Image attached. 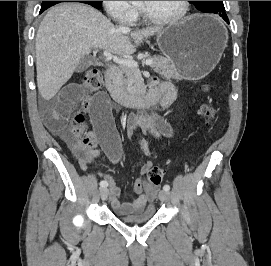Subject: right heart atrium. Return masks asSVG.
I'll return each instance as SVG.
<instances>
[{"instance_id":"right-heart-atrium-1","label":"right heart atrium","mask_w":271,"mask_h":266,"mask_svg":"<svg viewBox=\"0 0 271 266\" xmlns=\"http://www.w3.org/2000/svg\"><path fill=\"white\" fill-rule=\"evenodd\" d=\"M107 13L115 20L131 24L138 17V10L129 1H102Z\"/></svg>"}]
</instances>
